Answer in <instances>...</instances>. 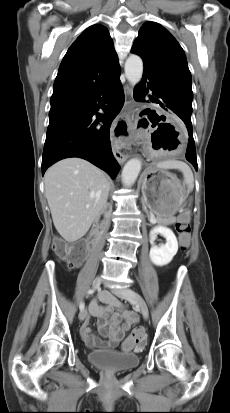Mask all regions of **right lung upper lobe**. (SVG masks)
Wrapping results in <instances>:
<instances>
[{
  "mask_svg": "<svg viewBox=\"0 0 230 413\" xmlns=\"http://www.w3.org/2000/svg\"><path fill=\"white\" fill-rule=\"evenodd\" d=\"M119 73L117 53L108 30L100 24L92 25L65 54L50 102L85 97L108 84Z\"/></svg>",
  "mask_w": 230,
  "mask_h": 413,
  "instance_id": "right-lung-upper-lobe-1",
  "label": "right lung upper lobe"
}]
</instances>
